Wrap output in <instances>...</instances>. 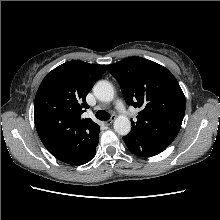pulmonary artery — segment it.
I'll use <instances>...</instances> for the list:
<instances>
[{"instance_id":"e3ab8cb5","label":"pulmonary artery","mask_w":220,"mask_h":220,"mask_svg":"<svg viewBox=\"0 0 220 220\" xmlns=\"http://www.w3.org/2000/svg\"><path fill=\"white\" fill-rule=\"evenodd\" d=\"M116 109L120 112V113H124L125 112V107L123 105V103L121 101H118L116 103Z\"/></svg>"}]
</instances>
